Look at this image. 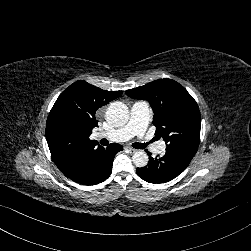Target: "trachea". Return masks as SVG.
<instances>
[{
    "label": "trachea",
    "mask_w": 251,
    "mask_h": 251,
    "mask_svg": "<svg viewBox=\"0 0 251 251\" xmlns=\"http://www.w3.org/2000/svg\"><path fill=\"white\" fill-rule=\"evenodd\" d=\"M154 141V139H152V142ZM100 143L102 144V145H104V146H106V145H108L109 144V142H108V140H106V139H102L101 141H100ZM134 148H136V149H144V148H146V146H147V143H134L133 145H132Z\"/></svg>",
    "instance_id": "trachea-1"
}]
</instances>
